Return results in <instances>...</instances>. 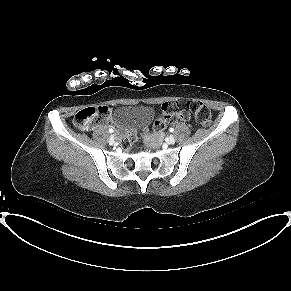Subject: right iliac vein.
Listing matches in <instances>:
<instances>
[{
  "instance_id": "right-iliac-vein-1",
  "label": "right iliac vein",
  "mask_w": 291,
  "mask_h": 291,
  "mask_svg": "<svg viewBox=\"0 0 291 291\" xmlns=\"http://www.w3.org/2000/svg\"><path fill=\"white\" fill-rule=\"evenodd\" d=\"M115 135H116V133L109 138V144L110 145L115 143Z\"/></svg>"
}]
</instances>
